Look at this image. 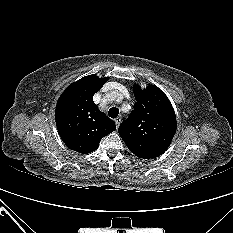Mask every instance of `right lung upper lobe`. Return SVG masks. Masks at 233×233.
Instances as JSON below:
<instances>
[{
  "label": "right lung upper lobe",
  "mask_w": 233,
  "mask_h": 233,
  "mask_svg": "<svg viewBox=\"0 0 233 233\" xmlns=\"http://www.w3.org/2000/svg\"><path fill=\"white\" fill-rule=\"evenodd\" d=\"M109 77L85 76L69 85L57 101L56 125L63 142L71 150L87 154L97 149L101 139L116 129L115 123L93 102Z\"/></svg>",
  "instance_id": "cb5924a9"
}]
</instances>
